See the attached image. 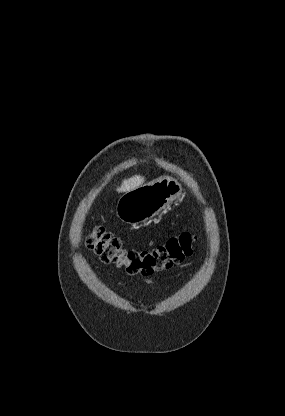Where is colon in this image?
Segmentation results:
<instances>
[{
  "instance_id": "obj_1",
  "label": "colon",
  "mask_w": 285,
  "mask_h": 416,
  "mask_svg": "<svg viewBox=\"0 0 285 416\" xmlns=\"http://www.w3.org/2000/svg\"><path fill=\"white\" fill-rule=\"evenodd\" d=\"M195 238L190 233H182L168 239L153 249L127 250L119 238L102 226H94L86 238V245L105 263H114L125 268L128 274L152 275L182 262L193 252Z\"/></svg>"
}]
</instances>
